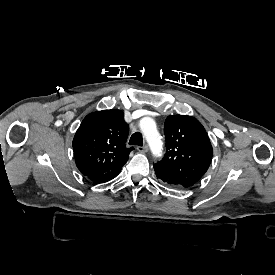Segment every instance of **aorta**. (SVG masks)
Wrapping results in <instances>:
<instances>
[{"label": "aorta", "mask_w": 275, "mask_h": 275, "mask_svg": "<svg viewBox=\"0 0 275 275\" xmlns=\"http://www.w3.org/2000/svg\"><path fill=\"white\" fill-rule=\"evenodd\" d=\"M140 128L145 134L147 140L150 142V145L154 151H159L161 145L158 144V134L156 132L155 121L151 118H143L140 121Z\"/></svg>", "instance_id": "1"}]
</instances>
